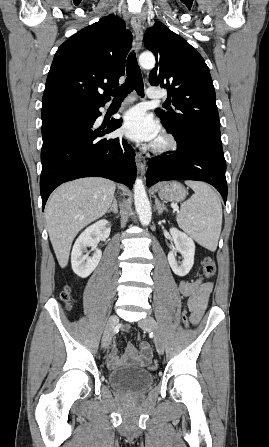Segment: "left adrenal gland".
Masks as SVG:
<instances>
[{"label":"left adrenal gland","instance_id":"obj_1","mask_svg":"<svg viewBox=\"0 0 269 447\" xmlns=\"http://www.w3.org/2000/svg\"><path fill=\"white\" fill-rule=\"evenodd\" d=\"M155 206H156V210H158L159 216H161V214H163V210H167V208H165V206H163V204H160L158 198H155Z\"/></svg>","mask_w":269,"mask_h":447}]
</instances>
